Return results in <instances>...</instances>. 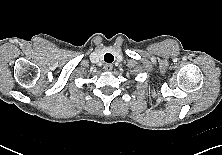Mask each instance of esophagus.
I'll use <instances>...</instances> for the list:
<instances>
[{"mask_svg":"<svg viewBox=\"0 0 222 155\" xmlns=\"http://www.w3.org/2000/svg\"><path fill=\"white\" fill-rule=\"evenodd\" d=\"M104 69L109 72V71H111L113 69V65L110 64V63H106L104 65Z\"/></svg>","mask_w":222,"mask_h":155,"instance_id":"1","label":"esophagus"}]
</instances>
